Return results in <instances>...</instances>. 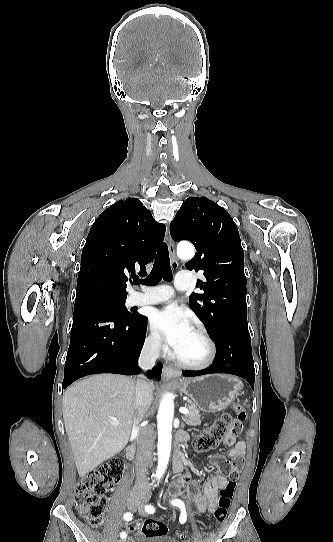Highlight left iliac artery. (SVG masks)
Wrapping results in <instances>:
<instances>
[{
  "mask_svg": "<svg viewBox=\"0 0 333 542\" xmlns=\"http://www.w3.org/2000/svg\"><path fill=\"white\" fill-rule=\"evenodd\" d=\"M173 505H177L180 509H181V515H180V518H179V521L180 523H184L187 519V516H186V510H185V505L183 503V501L179 500V499H176V500H173L171 502ZM146 511L150 514L154 513L155 512V509L153 506L151 505H147L145 507Z\"/></svg>",
  "mask_w": 333,
  "mask_h": 542,
  "instance_id": "left-iliac-artery-1",
  "label": "left iliac artery"
}]
</instances>
